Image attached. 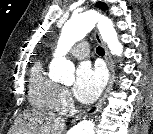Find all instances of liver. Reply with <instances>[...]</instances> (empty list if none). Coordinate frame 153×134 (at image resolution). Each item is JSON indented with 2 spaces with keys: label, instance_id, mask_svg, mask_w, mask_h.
<instances>
[{
  "label": "liver",
  "instance_id": "6515ba94",
  "mask_svg": "<svg viewBox=\"0 0 153 134\" xmlns=\"http://www.w3.org/2000/svg\"><path fill=\"white\" fill-rule=\"evenodd\" d=\"M24 119L29 122H24L18 129L17 134H29L30 132H39V134H49L50 132H56L59 127V120L54 115L39 112L30 111L24 113ZM61 128H64L62 122Z\"/></svg>",
  "mask_w": 153,
  "mask_h": 134
}]
</instances>
